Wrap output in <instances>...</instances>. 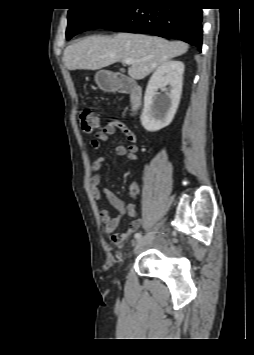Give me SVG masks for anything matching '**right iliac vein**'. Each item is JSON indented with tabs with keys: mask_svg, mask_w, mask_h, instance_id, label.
<instances>
[{
	"mask_svg": "<svg viewBox=\"0 0 254 355\" xmlns=\"http://www.w3.org/2000/svg\"><path fill=\"white\" fill-rule=\"evenodd\" d=\"M153 236V233H149L145 237L137 240L134 247V252L139 251L145 244H147L153 238Z\"/></svg>",
	"mask_w": 254,
	"mask_h": 355,
	"instance_id": "63e3f726",
	"label": "right iliac vein"
}]
</instances>
